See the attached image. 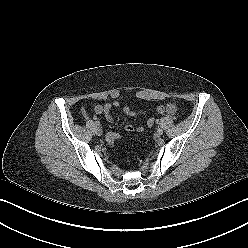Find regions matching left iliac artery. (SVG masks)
<instances>
[{"label":"left iliac artery","mask_w":248,"mask_h":248,"mask_svg":"<svg viewBox=\"0 0 248 248\" xmlns=\"http://www.w3.org/2000/svg\"><path fill=\"white\" fill-rule=\"evenodd\" d=\"M156 123L158 124L159 123V120H156Z\"/></svg>","instance_id":"left-iliac-artery-1"}]
</instances>
